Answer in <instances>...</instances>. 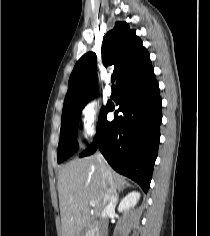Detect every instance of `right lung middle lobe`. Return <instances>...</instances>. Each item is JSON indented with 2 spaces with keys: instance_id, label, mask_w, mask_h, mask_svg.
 <instances>
[{
  "instance_id": "dd1d6c3e",
  "label": "right lung middle lobe",
  "mask_w": 210,
  "mask_h": 236,
  "mask_svg": "<svg viewBox=\"0 0 210 236\" xmlns=\"http://www.w3.org/2000/svg\"><path fill=\"white\" fill-rule=\"evenodd\" d=\"M86 104L78 109L69 110L62 113L60 141L58 145V163L63 162L78 150L76 133L78 128L79 115ZM107 109L108 106L101 109L99 123L105 116Z\"/></svg>"
}]
</instances>
